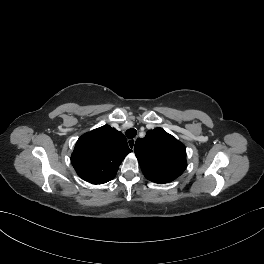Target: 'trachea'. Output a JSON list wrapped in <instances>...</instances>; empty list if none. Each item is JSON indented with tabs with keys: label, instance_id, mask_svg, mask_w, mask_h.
Here are the masks:
<instances>
[{
	"label": "trachea",
	"instance_id": "trachea-1",
	"mask_svg": "<svg viewBox=\"0 0 264 264\" xmlns=\"http://www.w3.org/2000/svg\"><path fill=\"white\" fill-rule=\"evenodd\" d=\"M136 134H137V131L134 128L128 129L126 131V137L129 139L134 138L136 136Z\"/></svg>",
	"mask_w": 264,
	"mask_h": 264
}]
</instances>
